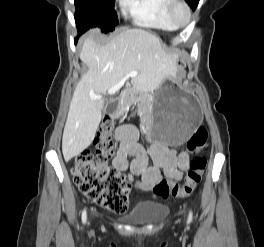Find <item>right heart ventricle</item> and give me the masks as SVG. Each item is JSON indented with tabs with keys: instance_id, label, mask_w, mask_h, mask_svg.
<instances>
[{
	"instance_id": "obj_1",
	"label": "right heart ventricle",
	"mask_w": 264,
	"mask_h": 247,
	"mask_svg": "<svg viewBox=\"0 0 264 247\" xmlns=\"http://www.w3.org/2000/svg\"><path fill=\"white\" fill-rule=\"evenodd\" d=\"M172 0H129L127 11L140 26L164 31H174L177 27L169 16Z\"/></svg>"
}]
</instances>
